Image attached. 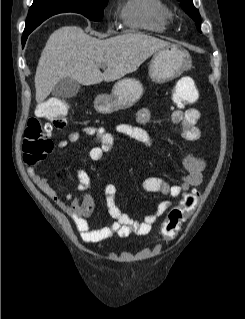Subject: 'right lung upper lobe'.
I'll list each match as a JSON object with an SVG mask.
<instances>
[{
  "mask_svg": "<svg viewBox=\"0 0 245 319\" xmlns=\"http://www.w3.org/2000/svg\"><path fill=\"white\" fill-rule=\"evenodd\" d=\"M64 1L70 0H34L28 12L24 31L31 32L50 16L66 12Z\"/></svg>",
  "mask_w": 245,
  "mask_h": 319,
  "instance_id": "right-lung-upper-lobe-1",
  "label": "right lung upper lobe"
}]
</instances>
